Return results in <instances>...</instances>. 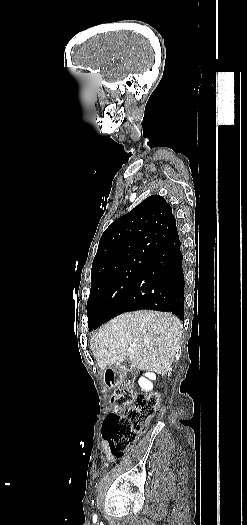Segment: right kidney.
Instances as JSON below:
<instances>
[{"mask_svg": "<svg viewBox=\"0 0 247 525\" xmlns=\"http://www.w3.org/2000/svg\"><path fill=\"white\" fill-rule=\"evenodd\" d=\"M152 381H156L155 373H145L143 377H140V379H138V385L139 387H141L142 391H152Z\"/></svg>", "mask_w": 247, "mask_h": 525, "instance_id": "right-kidney-1", "label": "right kidney"}]
</instances>
